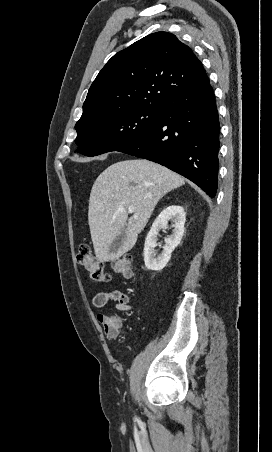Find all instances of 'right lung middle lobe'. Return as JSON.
Masks as SVG:
<instances>
[{
  "instance_id": "dd1d6c3e",
  "label": "right lung middle lobe",
  "mask_w": 272,
  "mask_h": 452,
  "mask_svg": "<svg viewBox=\"0 0 272 452\" xmlns=\"http://www.w3.org/2000/svg\"><path fill=\"white\" fill-rule=\"evenodd\" d=\"M162 108L135 107L102 114L75 125L77 151L96 156L129 145L156 122Z\"/></svg>"
}]
</instances>
